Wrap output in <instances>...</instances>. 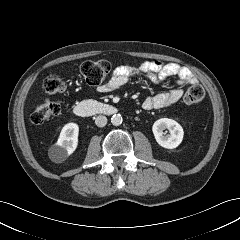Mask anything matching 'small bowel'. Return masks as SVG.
Segmentation results:
<instances>
[{
    "instance_id": "1",
    "label": "small bowel",
    "mask_w": 240,
    "mask_h": 240,
    "mask_svg": "<svg viewBox=\"0 0 240 240\" xmlns=\"http://www.w3.org/2000/svg\"><path fill=\"white\" fill-rule=\"evenodd\" d=\"M134 75H143L153 83H161L170 77L178 79L177 86L148 96L142 103V108L146 111L164 108L177 103L183 96L182 85H193L197 83L196 77L186 67L176 63H164L160 61H145L140 65H120L116 67L110 79L98 87L103 93L111 92L124 86Z\"/></svg>"
}]
</instances>
